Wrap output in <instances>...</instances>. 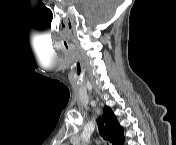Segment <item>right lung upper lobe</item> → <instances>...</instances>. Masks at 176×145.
Returning <instances> with one entry per match:
<instances>
[{
  "label": "right lung upper lobe",
  "mask_w": 176,
  "mask_h": 145,
  "mask_svg": "<svg viewBox=\"0 0 176 145\" xmlns=\"http://www.w3.org/2000/svg\"><path fill=\"white\" fill-rule=\"evenodd\" d=\"M102 119L106 125V139L113 145L123 144V129L117 122V118L112 110L107 106L104 107Z\"/></svg>",
  "instance_id": "obj_1"
}]
</instances>
